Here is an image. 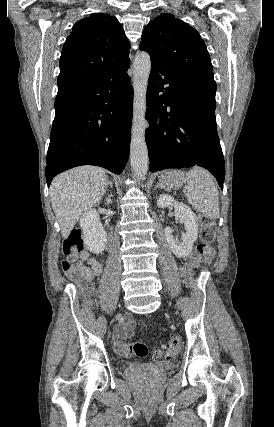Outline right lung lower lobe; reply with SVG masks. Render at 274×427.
<instances>
[{
    "label": "right lung lower lobe",
    "mask_w": 274,
    "mask_h": 427,
    "mask_svg": "<svg viewBox=\"0 0 274 427\" xmlns=\"http://www.w3.org/2000/svg\"><path fill=\"white\" fill-rule=\"evenodd\" d=\"M128 68L55 100L45 169L48 187L54 176L80 165L101 166L116 174L125 168L133 104Z\"/></svg>",
    "instance_id": "1"
}]
</instances>
